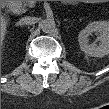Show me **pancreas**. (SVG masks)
Masks as SVG:
<instances>
[{"mask_svg":"<svg viewBox=\"0 0 109 109\" xmlns=\"http://www.w3.org/2000/svg\"><path fill=\"white\" fill-rule=\"evenodd\" d=\"M22 4H23V6H27V7H32L33 5H34V3L33 2H31V1H23L22 2Z\"/></svg>","mask_w":109,"mask_h":109,"instance_id":"1","label":"pancreas"}]
</instances>
